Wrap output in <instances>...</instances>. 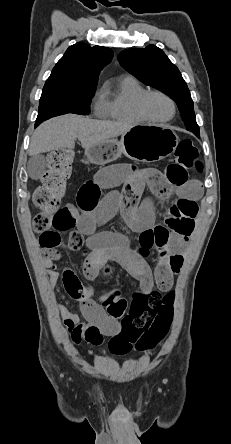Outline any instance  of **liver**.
Returning <instances> with one entry per match:
<instances>
[{
    "mask_svg": "<svg viewBox=\"0 0 231 444\" xmlns=\"http://www.w3.org/2000/svg\"><path fill=\"white\" fill-rule=\"evenodd\" d=\"M132 127L134 126L131 124L92 120L75 114L55 117L43 122L35 130L29 146V155L34 156L58 149H73L76 139L86 151L125 134Z\"/></svg>",
    "mask_w": 231,
    "mask_h": 444,
    "instance_id": "1",
    "label": "liver"
}]
</instances>
